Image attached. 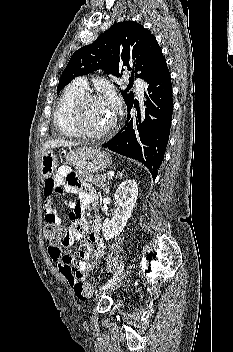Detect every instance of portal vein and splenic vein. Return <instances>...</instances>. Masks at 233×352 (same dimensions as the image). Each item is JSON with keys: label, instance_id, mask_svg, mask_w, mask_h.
Segmentation results:
<instances>
[{"label": "portal vein and splenic vein", "instance_id": "18ae733b", "mask_svg": "<svg viewBox=\"0 0 233 352\" xmlns=\"http://www.w3.org/2000/svg\"><path fill=\"white\" fill-rule=\"evenodd\" d=\"M107 176L113 177V176H114V173H113V172H109V173L107 174Z\"/></svg>", "mask_w": 233, "mask_h": 352}]
</instances>
